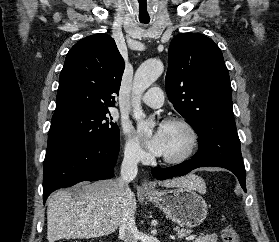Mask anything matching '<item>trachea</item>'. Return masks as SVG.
I'll return each mask as SVG.
<instances>
[{
	"instance_id": "trachea-1",
	"label": "trachea",
	"mask_w": 279,
	"mask_h": 242,
	"mask_svg": "<svg viewBox=\"0 0 279 242\" xmlns=\"http://www.w3.org/2000/svg\"><path fill=\"white\" fill-rule=\"evenodd\" d=\"M141 23H143V24H148L149 21H141Z\"/></svg>"
}]
</instances>
